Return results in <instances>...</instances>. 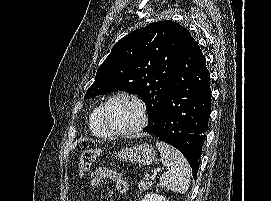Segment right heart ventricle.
Segmentation results:
<instances>
[{"label":"right heart ventricle","instance_id":"obj_1","mask_svg":"<svg viewBox=\"0 0 271 201\" xmlns=\"http://www.w3.org/2000/svg\"><path fill=\"white\" fill-rule=\"evenodd\" d=\"M102 105H98L93 109L89 116V129L91 133L97 137L107 138L112 134L105 128L101 119Z\"/></svg>","mask_w":271,"mask_h":201}]
</instances>
